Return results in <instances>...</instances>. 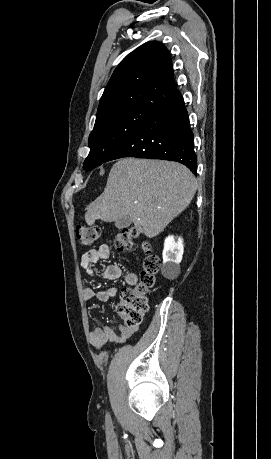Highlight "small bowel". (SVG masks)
<instances>
[{"label": "small bowel", "instance_id": "obj_1", "mask_svg": "<svg viewBox=\"0 0 271 459\" xmlns=\"http://www.w3.org/2000/svg\"><path fill=\"white\" fill-rule=\"evenodd\" d=\"M110 254V248L106 244L100 245L96 249H91L82 255L80 261L81 267L88 275L93 276L96 273L93 267L94 264L101 260L108 259ZM122 274V268L116 264L107 265L100 273V275L107 280H117ZM125 281L128 285L134 286L138 282V277L134 272H127L125 274ZM117 292L118 290L116 287H108L99 292L87 287L83 290V297L87 301L97 299L101 302H106L115 298ZM118 330L120 336L116 335L115 330L111 326L96 327L90 332V343L98 350L102 349L108 341L123 343L138 331V326L129 327L126 325H119Z\"/></svg>", "mask_w": 271, "mask_h": 459}]
</instances>
